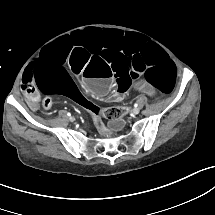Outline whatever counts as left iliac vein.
<instances>
[{"instance_id": "left-iliac-vein-1", "label": "left iliac vein", "mask_w": 215, "mask_h": 215, "mask_svg": "<svg viewBox=\"0 0 215 215\" xmlns=\"http://www.w3.org/2000/svg\"><path fill=\"white\" fill-rule=\"evenodd\" d=\"M139 113V108H134L133 110H132V114L133 115H137Z\"/></svg>"}]
</instances>
